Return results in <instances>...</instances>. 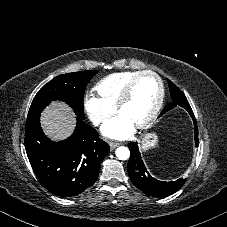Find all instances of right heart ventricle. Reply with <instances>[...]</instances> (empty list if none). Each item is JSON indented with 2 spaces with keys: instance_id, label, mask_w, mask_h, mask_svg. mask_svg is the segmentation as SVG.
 I'll use <instances>...</instances> for the list:
<instances>
[{
  "instance_id": "1",
  "label": "right heart ventricle",
  "mask_w": 227,
  "mask_h": 227,
  "mask_svg": "<svg viewBox=\"0 0 227 227\" xmlns=\"http://www.w3.org/2000/svg\"><path fill=\"white\" fill-rule=\"evenodd\" d=\"M139 71H121L101 79L94 87L96 95L108 105L115 107L129 80Z\"/></svg>"
}]
</instances>
